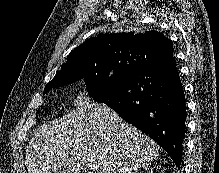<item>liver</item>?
<instances>
[{"label": "liver", "instance_id": "obj_1", "mask_svg": "<svg viewBox=\"0 0 219 173\" xmlns=\"http://www.w3.org/2000/svg\"><path fill=\"white\" fill-rule=\"evenodd\" d=\"M159 146L105 104L91 103L38 127L26 149L29 173H136Z\"/></svg>", "mask_w": 219, "mask_h": 173}]
</instances>
